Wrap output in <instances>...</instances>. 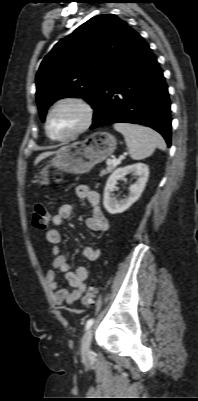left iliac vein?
Segmentation results:
<instances>
[{
	"instance_id": "left-iliac-vein-1",
	"label": "left iliac vein",
	"mask_w": 198,
	"mask_h": 401,
	"mask_svg": "<svg viewBox=\"0 0 198 401\" xmlns=\"http://www.w3.org/2000/svg\"><path fill=\"white\" fill-rule=\"evenodd\" d=\"M91 340H92V329L89 328L82 337L81 355L83 358H88L91 356V349H90Z\"/></svg>"
}]
</instances>
